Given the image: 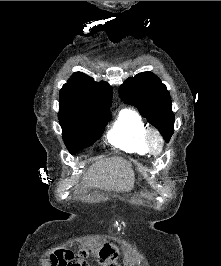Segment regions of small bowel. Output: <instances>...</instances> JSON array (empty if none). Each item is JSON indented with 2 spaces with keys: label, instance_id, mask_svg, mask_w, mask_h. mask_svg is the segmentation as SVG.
<instances>
[{
  "label": "small bowel",
  "instance_id": "c3829d8e",
  "mask_svg": "<svg viewBox=\"0 0 221 266\" xmlns=\"http://www.w3.org/2000/svg\"><path fill=\"white\" fill-rule=\"evenodd\" d=\"M54 250L65 252H50L49 266H89L81 258H75L76 252L66 251V246L54 247Z\"/></svg>",
  "mask_w": 221,
  "mask_h": 266
}]
</instances>
